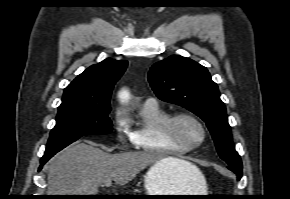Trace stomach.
<instances>
[{"label":"stomach","mask_w":290,"mask_h":199,"mask_svg":"<svg viewBox=\"0 0 290 199\" xmlns=\"http://www.w3.org/2000/svg\"><path fill=\"white\" fill-rule=\"evenodd\" d=\"M171 173L163 163L153 164L144 175L146 195H206L207 186L200 172L195 176ZM163 199H194L186 197L153 196Z\"/></svg>","instance_id":"obj_1"}]
</instances>
